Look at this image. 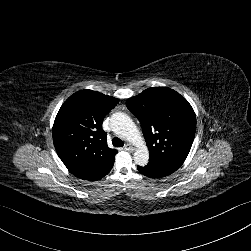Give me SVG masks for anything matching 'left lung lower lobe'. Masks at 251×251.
Here are the masks:
<instances>
[{"label": "left lung lower lobe", "instance_id": "obj_1", "mask_svg": "<svg viewBox=\"0 0 251 251\" xmlns=\"http://www.w3.org/2000/svg\"><path fill=\"white\" fill-rule=\"evenodd\" d=\"M179 167L175 163L150 158L149 163L145 167L138 166V170L149 178H161L175 172Z\"/></svg>", "mask_w": 251, "mask_h": 251}]
</instances>
